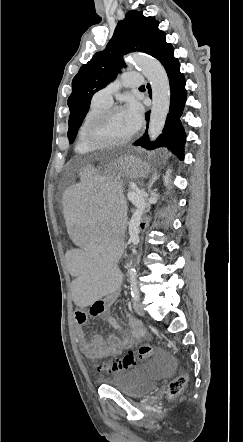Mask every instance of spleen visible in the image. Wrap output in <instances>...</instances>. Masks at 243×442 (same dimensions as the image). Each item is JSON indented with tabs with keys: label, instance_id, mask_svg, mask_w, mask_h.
Wrapping results in <instances>:
<instances>
[{
	"label": "spleen",
	"instance_id": "obj_1",
	"mask_svg": "<svg viewBox=\"0 0 243 442\" xmlns=\"http://www.w3.org/2000/svg\"><path fill=\"white\" fill-rule=\"evenodd\" d=\"M117 167L100 165L94 169L91 163L80 170V183H72L68 193H62L66 202V217L72 242H77L79 253L70 259L72 274H77L78 282L71 288L77 307H93L101 302V296H118L124 291V277H120L123 222H108V219H123L126 212L123 193L129 189L131 178L128 175H105L117 172ZM126 172V167H120ZM136 178H147L149 171L137 167Z\"/></svg>",
	"mask_w": 243,
	"mask_h": 442
}]
</instances>
